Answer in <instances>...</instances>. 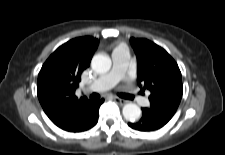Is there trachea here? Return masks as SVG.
<instances>
[{
    "mask_svg": "<svg viewBox=\"0 0 225 155\" xmlns=\"http://www.w3.org/2000/svg\"><path fill=\"white\" fill-rule=\"evenodd\" d=\"M99 98H100V95L97 94V93H93V94L90 95V99H91V100H97V99H99Z\"/></svg>",
    "mask_w": 225,
    "mask_h": 155,
    "instance_id": "trachea-1",
    "label": "trachea"
}]
</instances>
